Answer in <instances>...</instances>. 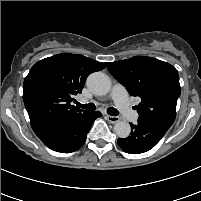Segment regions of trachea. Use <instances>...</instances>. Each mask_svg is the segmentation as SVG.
<instances>
[{
  "label": "trachea",
  "mask_w": 201,
  "mask_h": 201,
  "mask_svg": "<svg viewBox=\"0 0 201 201\" xmlns=\"http://www.w3.org/2000/svg\"><path fill=\"white\" fill-rule=\"evenodd\" d=\"M77 107L82 108V109H86L89 111H94L96 109V106L93 103L81 104V103L77 102ZM107 113L111 116H117L119 114L118 110L115 109L114 107L108 108Z\"/></svg>",
  "instance_id": "obj_1"
}]
</instances>
